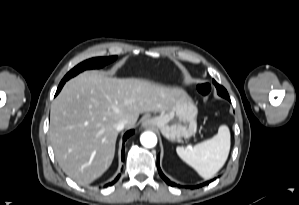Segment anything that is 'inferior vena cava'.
Here are the masks:
<instances>
[{
	"instance_id": "602c4592",
	"label": "inferior vena cava",
	"mask_w": 299,
	"mask_h": 205,
	"mask_svg": "<svg viewBox=\"0 0 299 205\" xmlns=\"http://www.w3.org/2000/svg\"><path fill=\"white\" fill-rule=\"evenodd\" d=\"M126 124H127L126 120L120 121L119 123H117L115 125V128H116L117 131H121L125 128Z\"/></svg>"
}]
</instances>
